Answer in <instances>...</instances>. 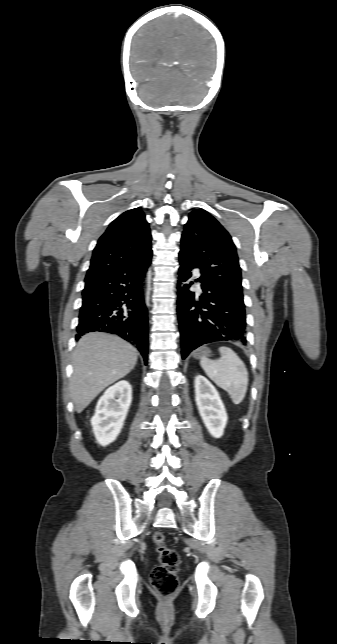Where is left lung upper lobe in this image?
I'll return each mask as SVG.
<instances>
[{
	"mask_svg": "<svg viewBox=\"0 0 337 644\" xmlns=\"http://www.w3.org/2000/svg\"><path fill=\"white\" fill-rule=\"evenodd\" d=\"M179 258L199 268L202 275L243 303L235 245L229 233L208 212L197 209L190 213L181 237Z\"/></svg>",
	"mask_w": 337,
	"mask_h": 644,
	"instance_id": "1",
	"label": "left lung upper lobe"
}]
</instances>
